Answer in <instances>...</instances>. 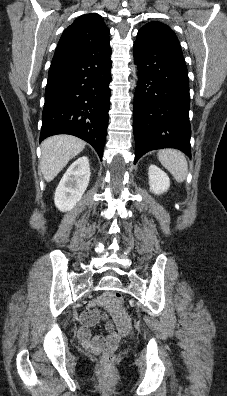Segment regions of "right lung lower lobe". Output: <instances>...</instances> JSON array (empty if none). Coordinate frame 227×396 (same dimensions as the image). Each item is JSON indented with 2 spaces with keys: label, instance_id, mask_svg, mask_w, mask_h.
<instances>
[{
  "label": "right lung lower lobe",
  "instance_id": "obj_1",
  "mask_svg": "<svg viewBox=\"0 0 227 396\" xmlns=\"http://www.w3.org/2000/svg\"><path fill=\"white\" fill-rule=\"evenodd\" d=\"M110 43L54 57L48 74L40 141L56 134L77 136L102 160L111 91Z\"/></svg>",
  "mask_w": 227,
  "mask_h": 396
}]
</instances>
